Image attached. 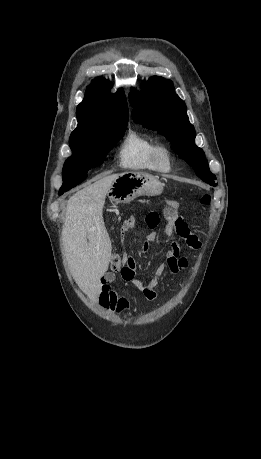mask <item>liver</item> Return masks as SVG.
Here are the masks:
<instances>
[{"mask_svg": "<svg viewBox=\"0 0 261 459\" xmlns=\"http://www.w3.org/2000/svg\"><path fill=\"white\" fill-rule=\"evenodd\" d=\"M120 174L100 176L71 196L62 230L63 247L73 278L90 298L101 293V277L111 260L112 245L103 221L109 188Z\"/></svg>", "mask_w": 261, "mask_h": 459, "instance_id": "liver-1", "label": "liver"}]
</instances>
